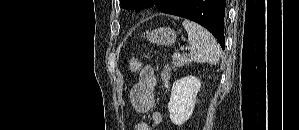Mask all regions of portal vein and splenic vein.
Instances as JSON below:
<instances>
[{
  "instance_id": "1",
  "label": "portal vein and splenic vein",
  "mask_w": 299,
  "mask_h": 130,
  "mask_svg": "<svg viewBox=\"0 0 299 130\" xmlns=\"http://www.w3.org/2000/svg\"><path fill=\"white\" fill-rule=\"evenodd\" d=\"M174 56H175V57H179L180 54L176 52V53L174 54Z\"/></svg>"
}]
</instances>
